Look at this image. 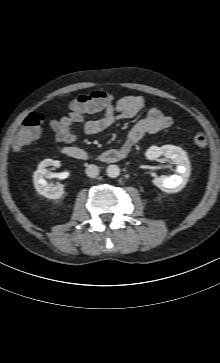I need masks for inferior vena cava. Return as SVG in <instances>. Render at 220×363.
I'll return each instance as SVG.
<instances>
[{
	"label": "inferior vena cava",
	"mask_w": 220,
	"mask_h": 363,
	"mask_svg": "<svg viewBox=\"0 0 220 363\" xmlns=\"http://www.w3.org/2000/svg\"><path fill=\"white\" fill-rule=\"evenodd\" d=\"M86 175L90 178H95L99 175V168L98 166L91 164L88 165L86 168Z\"/></svg>",
	"instance_id": "inferior-vena-cava-1"
}]
</instances>
